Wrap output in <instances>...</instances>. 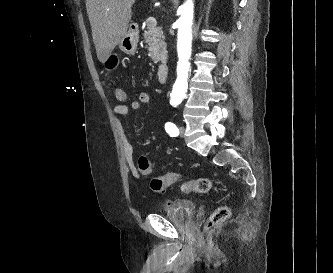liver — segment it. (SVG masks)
<instances>
[{"mask_svg":"<svg viewBox=\"0 0 333 273\" xmlns=\"http://www.w3.org/2000/svg\"><path fill=\"white\" fill-rule=\"evenodd\" d=\"M135 0H86L97 58L105 62L126 34Z\"/></svg>","mask_w":333,"mask_h":273,"instance_id":"liver-1","label":"liver"}]
</instances>
